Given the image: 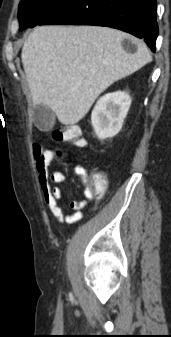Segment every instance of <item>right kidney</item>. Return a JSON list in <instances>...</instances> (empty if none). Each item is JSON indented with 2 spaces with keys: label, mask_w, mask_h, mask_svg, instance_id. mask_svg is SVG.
I'll use <instances>...</instances> for the list:
<instances>
[{
  "label": "right kidney",
  "mask_w": 171,
  "mask_h": 337,
  "mask_svg": "<svg viewBox=\"0 0 171 337\" xmlns=\"http://www.w3.org/2000/svg\"><path fill=\"white\" fill-rule=\"evenodd\" d=\"M130 105L129 94L122 91L108 93L97 101L91 122L99 139L111 138L121 130Z\"/></svg>",
  "instance_id": "1"
}]
</instances>
